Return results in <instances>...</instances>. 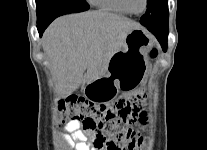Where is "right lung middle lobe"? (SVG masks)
Returning a JSON list of instances; mask_svg holds the SVG:
<instances>
[{"mask_svg":"<svg viewBox=\"0 0 207 150\" xmlns=\"http://www.w3.org/2000/svg\"><path fill=\"white\" fill-rule=\"evenodd\" d=\"M37 21L52 16L77 13L89 9L84 0H36Z\"/></svg>","mask_w":207,"mask_h":150,"instance_id":"1","label":"right lung middle lobe"}]
</instances>
